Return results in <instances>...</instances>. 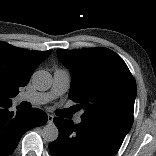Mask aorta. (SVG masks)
Listing matches in <instances>:
<instances>
[{"instance_id":"aorta-1","label":"aorta","mask_w":156,"mask_h":156,"mask_svg":"<svg viewBox=\"0 0 156 156\" xmlns=\"http://www.w3.org/2000/svg\"><path fill=\"white\" fill-rule=\"evenodd\" d=\"M32 83L39 91H46L52 85V76L45 70H39L32 75ZM59 135L58 128L54 123H48L42 129V138L47 142H54Z\"/></svg>"}]
</instances>
